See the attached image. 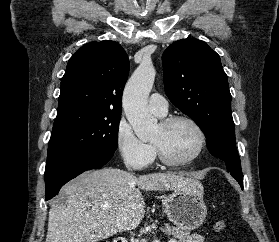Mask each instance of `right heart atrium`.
Masks as SVG:
<instances>
[{"instance_id": "d8ad5b80", "label": "right heart atrium", "mask_w": 279, "mask_h": 242, "mask_svg": "<svg viewBox=\"0 0 279 242\" xmlns=\"http://www.w3.org/2000/svg\"><path fill=\"white\" fill-rule=\"evenodd\" d=\"M115 143L123 163L134 169L145 168L154 158L152 146L136 136L125 118L117 123Z\"/></svg>"}]
</instances>
